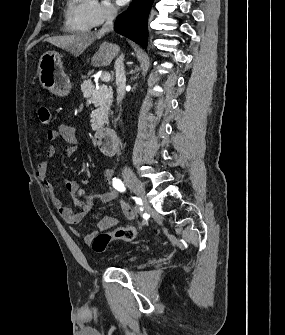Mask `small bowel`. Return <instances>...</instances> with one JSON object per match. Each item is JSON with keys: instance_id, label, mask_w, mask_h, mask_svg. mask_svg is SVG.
<instances>
[{"instance_id": "small-bowel-1", "label": "small bowel", "mask_w": 285, "mask_h": 335, "mask_svg": "<svg viewBox=\"0 0 285 335\" xmlns=\"http://www.w3.org/2000/svg\"><path fill=\"white\" fill-rule=\"evenodd\" d=\"M46 139L49 142H54L59 139L64 140L69 145L66 150L68 157L74 156L79 150L75 130L69 124L63 123L57 126L55 129L49 130L46 134ZM45 155L46 160L42 162L37 168V177L42 182L46 192L49 194L51 201L57 209L59 215L68 224L72 226L79 225L85 216L93 210L94 204H103L118 198V192L112 187L113 175L110 169L104 170V176L110 185L109 190L95 197L88 195L84 190L79 188L75 181L68 180L64 182V189L67 193L79 201L81 207L79 211H75L73 208L63 202L54 186L48 179L51 160L56 155V147L53 144L48 145L45 151ZM120 205L125 219L132 220L135 218V211L129 202L122 199L120 200ZM118 222V219L113 216H105L99 222L98 228L100 231L109 230L115 227ZM95 235V232L84 235L78 234L81 240L87 245L91 243Z\"/></svg>"}]
</instances>
